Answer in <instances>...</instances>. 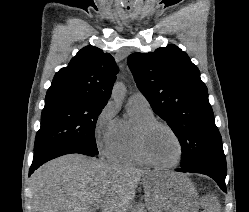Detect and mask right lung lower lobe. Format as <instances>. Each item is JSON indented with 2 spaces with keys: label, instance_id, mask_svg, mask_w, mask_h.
<instances>
[{
  "label": "right lung lower lobe",
  "instance_id": "1",
  "mask_svg": "<svg viewBox=\"0 0 249 212\" xmlns=\"http://www.w3.org/2000/svg\"><path fill=\"white\" fill-rule=\"evenodd\" d=\"M71 153L84 154V151L79 146L76 145L60 144V145L50 146L40 151L34 152V158L29 170V176L33 173L34 170H36L43 163L53 158Z\"/></svg>",
  "mask_w": 249,
  "mask_h": 212
}]
</instances>
